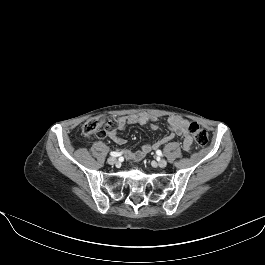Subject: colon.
Instances as JSON below:
<instances>
[{
  "label": "colon",
  "mask_w": 265,
  "mask_h": 265,
  "mask_svg": "<svg viewBox=\"0 0 265 265\" xmlns=\"http://www.w3.org/2000/svg\"><path fill=\"white\" fill-rule=\"evenodd\" d=\"M113 126V121L103 117H97L87 121L83 125V133L88 137H104L107 131ZM188 131L191 133L195 143L204 146L208 143V134L206 130L200 127L196 122L187 121Z\"/></svg>",
  "instance_id": "obj_1"
}]
</instances>
